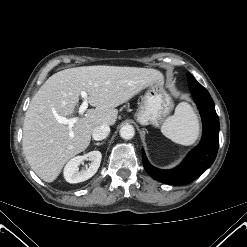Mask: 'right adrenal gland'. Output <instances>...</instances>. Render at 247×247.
<instances>
[{
    "instance_id": "right-adrenal-gland-1",
    "label": "right adrenal gland",
    "mask_w": 247,
    "mask_h": 247,
    "mask_svg": "<svg viewBox=\"0 0 247 247\" xmlns=\"http://www.w3.org/2000/svg\"><path fill=\"white\" fill-rule=\"evenodd\" d=\"M102 144H103V142H101V143H94V145H97V146H100Z\"/></svg>"
}]
</instances>
